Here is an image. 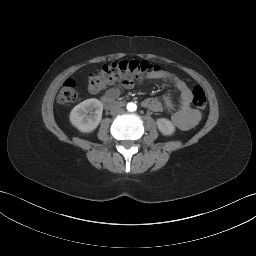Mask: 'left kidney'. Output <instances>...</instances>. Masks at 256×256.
Returning a JSON list of instances; mask_svg holds the SVG:
<instances>
[{
	"label": "left kidney",
	"mask_w": 256,
	"mask_h": 256,
	"mask_svg": "<svg viewBox=\"0 0 256 256\" xmlns=\"http://www.w3.org/2000/svg\"><path fill=\"white\" fill-rule=\"evenodd\" d=\"M156 124L159 131L164 135H172L175 132L174 124L166 118L157 119Z\"/></svg>",
	"instance_id": "5707ae66"
}]
</instances>
